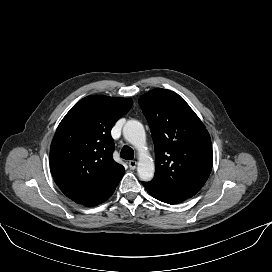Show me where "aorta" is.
Here are the masks:
<instances>
[{"instance_id": "aorta-1", "label": "aorta", "mask_w": 272, "mask_h": 272, "mask_svg": "<svg viewBox=\"0 0 272 272\" xmlns=\"http://www.w3.org/2000/svg\"><path fill=\"white\" fill-rule=\"evenodd\" d=\"M125 139L139 152L137 172L142 181H150L155 173L152 158L147 154L146 134L142 123L137 120H129L123 128Z\"/></svg>"}]
</instances>
